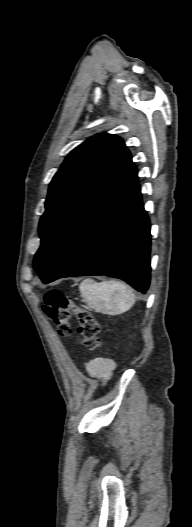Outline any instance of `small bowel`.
Masks as SVG:
<instances>
[{"instance_id":"1","label":"small bowel","mask_w":192,"mask_h":527,"mask_svg":"<svg viewBox=\"0 0 192 527\" xmlns=\"http://www.w3.org/2000/svg\"><path fill=\"white\" fill-rule=\"evenodd\" d=\"M114 367V362L106 358H95L85 364V369L90 376L101 379H107Z\"/></svg>"}]
</instances>
